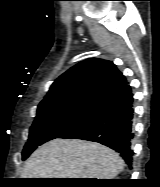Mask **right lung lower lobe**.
I'll return each mask as SVG.
<instances>
[{
  "instance_id": "right-lung-lower-lobe-1",
  "label": "right lung lower lobe",
  "mask_w": 160,
  "mask_h": 187,
  "mask_svg": "<svg viewBox=\"0 0 160 187\" xmlns=\"http://www.w3.org/2000/svg\"><path fill=\"white\" fill-rule=\"evenodd\" d=\"M133 94L126 84L96 102L93 109L58 138L94 141L110 147L132 164Z\"/></svg>"
}]
</instances>
